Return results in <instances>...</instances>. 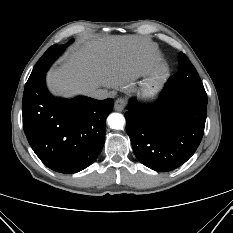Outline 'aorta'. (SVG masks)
<instances>
[{
    "mask_svg": "<svg viewBox=\"0 0 233 233\" xmlns=\"http://www.w3.org/2000/svg\"><path fill=\"white\" fill-rule=\"evenodd\" d=\"M108 125L112 129H122L125 124V118L120 113H112L107 118Z\"/></svg>",
    "mask_w": 233,
    "mask_h": 233,
    "instance_id": "1",
    "label": "aorta"
}]
</instances>
